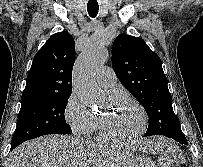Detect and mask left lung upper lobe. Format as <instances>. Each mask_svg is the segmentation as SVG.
Listing matches in <instances>:
<instances>
[{
  "label": "left lung upper lobe",
  "instance_id": "left-lung-upper-lobe-1",
  "mask_svg": "<svg viewBox=\"0 0 203 167\" xmlns=\"http://www.w3.org/2000/svg\"><path fill=\"white\" fill-rule=\"evenodd\" d=\"M112 67L122 85L148 114L149 126L145 136H184L172 108L161 59L143 39L120 34L112 46Z\"/></svg>",
  "mask_w": 203,
  "mask_h": 167
}]
</instances>
